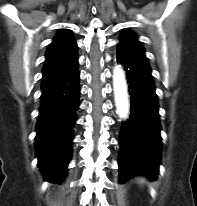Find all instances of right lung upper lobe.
Listing matches in <instances>:
<instances>
[{
    "label": "right lung upper lobe",
    "instance_id": "obj_1",
    "mask_svg": "<svg viewBox=\"0 0 197 206\" xmlns=\"http://www.w3.org/2000/svg\"><path fill=\"white\" fill-rule=\"evenodd\" d=\"M77 58V45L70 30L60 29L46 52L42 86L66 72Z\"/></svg>",
    "mask_w": 197,
    "mask_h": 206
}]
</instances>
